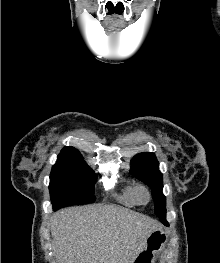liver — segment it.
<instances>
[{"label": "liver", "instance_id": "6515ba94", "mask_svg": "<svg viewBox=\"0 0 220 263\" xmlns=\"http://www.w3.org/2000/svg\"><path fill=\"white\" fill-rule=\"evenodd\" d=\"M160 224L115 205L64 208L51 217L59 263H133Z\"/></svg>", "mask_w": 220, "mask_h": 263}]
</instances>
